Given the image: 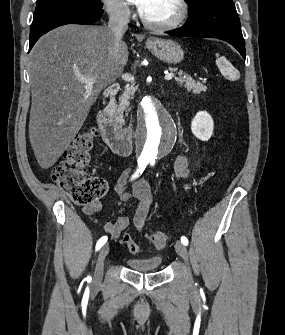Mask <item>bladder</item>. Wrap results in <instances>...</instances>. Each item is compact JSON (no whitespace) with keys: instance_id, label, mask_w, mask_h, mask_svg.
<instances>
[{"instance_id":"obj_1","label":"bladder","mask_w":285,"mask_h":335,"mask_svg":"<svg viewBox=\"0 0 285 335\" xmlns=\"http://www.w3.org/2000/svg\"><path fill=\"white\" fill-rule=\"evenodd\" d=\"M162 258L163 257L160 255L148 256L144 258L130 257L127 258V265H130V270L133 272L154 273L155 265H162Z\"/></svg>"}]
</instances>
